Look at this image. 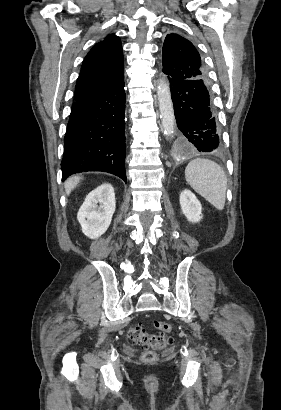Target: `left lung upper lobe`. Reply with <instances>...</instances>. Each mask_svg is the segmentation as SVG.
I'll use <instances>...</instances> for the list:
<instances>
[{"instance_id": "5c2ea615", "label": "left lung upper lobe", "mask_w": 281, "mask_h": 410, "mask_svg": "<svg viewBox=\"0 0 281 410\" xmlns=\"http://www.w3.org/2000/svg\"><path fill=\"white\" fill-rule=\"evenodd\" d=\"M163 72L178 80H205L207 73L194 45L178 34H168L163 44Z\"/></svg>"}]
</instances>
